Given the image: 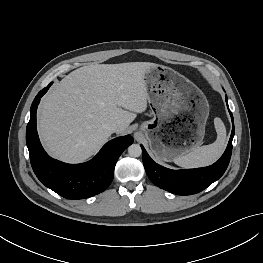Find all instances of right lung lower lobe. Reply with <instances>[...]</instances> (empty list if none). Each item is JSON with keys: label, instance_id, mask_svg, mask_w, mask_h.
Segmentation results:
<instances>
[{"label": "right lung lower lobe", "instance_id": "right-lung-lower-lobe-1", "mask_svg": "<svg viewBox=\"0 0 263 263\" xmlns=\"http://www.w3.org/2000/svg\"><path fill=\"white\" fill-rule=\"evenodd\" d=\"M50 83L35 97L26 129L30 161L37 178L48 188L67 199H84L103 192L112 182L114 168L122 152L133 143L130 135L106 143L100 152L83 164H66L52 159L44 151L37 134L36 110Z\"/></svg>", "mask_w": 263, "mask_h": 263}]
</instances>
